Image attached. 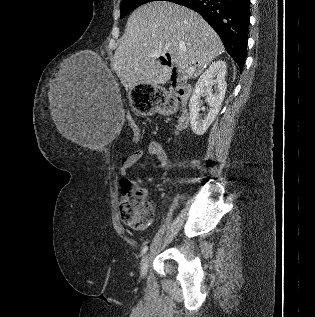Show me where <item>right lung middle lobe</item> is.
<instances>
[{
	"label": "right lung middle lobe",
	"instance_id": "obj_1",
	"mask_svg": "<svg viewBox=\"0 0 315 317\" xmlns=\"http://www.w3.org/2000/svg\"><path fill=\"white\" fill-rule=\"evenodd\" d=\"M151 1H170L174 2L175 0H123L121 4V15L120 18L126 16L130 11L137 8L138 6L151 2Z\"/></svg>",
	"mask_w": 315,
	"mask_h": 317
}]
</instances>
